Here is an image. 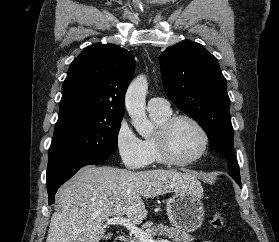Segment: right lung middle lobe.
Returning a JSON list of instances; mask_svg holds the SVG:
<instances>
[{
  "mask_svg": "<svg viewBox=\"0 0 279 242\" xmlns=\"http://www.w3.org/2000/svg\"><path fill=\"white\" fill-rule=\"evenodd\" d=\"M122 119L84 110L59 114L49 153L47 176L79 158L113 154L117 149Z\"/></svg>",
  "mask_w": 279,
  "mask_h": 242,
  "instance_id": "1",
  "label": "right lung middle lobe"
}]
</instances>
